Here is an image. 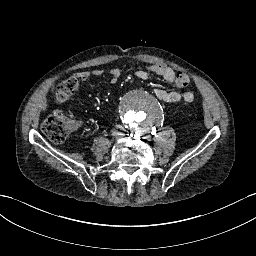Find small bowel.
Returning a JSON list of instances; mask_svg holds the SVG:
<instances>
[{"instance_id":"1","label":"small bowel","mask_w":256,"mask_h":256,"mask_svg":"<svg viewBox=\"0 0 256 256\" xmlns=\"http://www.w3.org/2000/svg\"><path fill=\"white\" fill-rule=\"evenodd\" d=\"M149 73H153L162 77L167 83L173 84L176 80V73L174 70L166 65L155 64L148 68V70H139L136 72L138 78L147 80ZM105 72L101 69H94L91 71H82L76 74V77L82 81H87L91 77H103ZM109 81L111 84L117 83L121 76V70L117 67L110 69L108 72ZM156 97L166 103H174L183 100L186 103H191L194 100V93L186 91L183 93L177 91H167L163 88L155 89Z\"/></svg>"}]
</instances>
